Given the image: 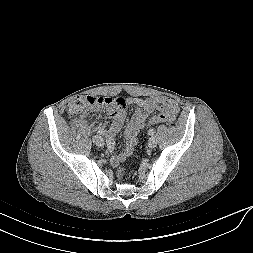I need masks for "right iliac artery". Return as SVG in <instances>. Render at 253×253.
Wrapping results in <instances>:
<instances>
[{
	"label": "right iliac artery",
	"mask_w": 253,
	"mask_h": 253,
	"mask_svg": "<svg viewBox=\"0 0 253 253\" xmlns=\"http://www.w3.org/2000/svg\"><path fill=\"white\" fill-rule=\"evenodd\" d=\"M97 132L99 134H101V135H105L106 134V130H104V129H99Z\"/></svg>",
	"instance_id": "obj_1"
}]
</instances>
